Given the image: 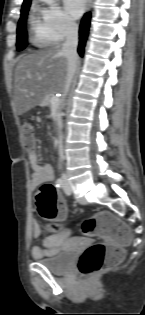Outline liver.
Instances as JSON below:
<instances>
[{
  "mask_svg": "<svg viewBox=\"0 0 145 315\" xmlns=\"http://www.w3.org/2000/svg\"><path fill=\"white\" fill-rule=\"evenodd\" d=\"M67 59L59 46L22 55L14 76L12 108L22 115L42 103L48 94L64 91Z\"/></svg>",
  "mask_w": 145,
  "mask_h": 315,
  "instance_id": "6515ba94",
  "label": "liver"
}]
</instances>
